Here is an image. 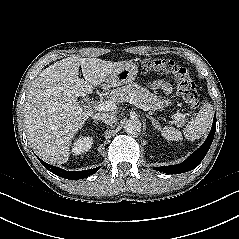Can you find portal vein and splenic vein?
Listing matches in <instances>:
<instances>
[{
  "label": "portal vein and splenic vein",
  "instance_id": "18ae733b",
  "mask_svg": "<svg viewBox=\"0 0 239 239\" xmlns=\"http://www.w3.org/2000/svg\"><path fill=\"white\" fill-rule=\"evenodd\" d=\"M126 101L130 104H134L137 108H140V109H143L144 111H150L151 108L144 105V104H141V103H138L135 99H133L132 97L130 98H127ZM93 108L97 111H110V110H114L116 109V104L113 102V101H105V102H102L100 104H97V105H94ZM182 116V114L180 113H177L175 116H174V121L173 123L176 124L177 121L180 119V117Z\"/></svg>",
  "mask_w": 239,
  "mask_h": 239
}]
</instances>
